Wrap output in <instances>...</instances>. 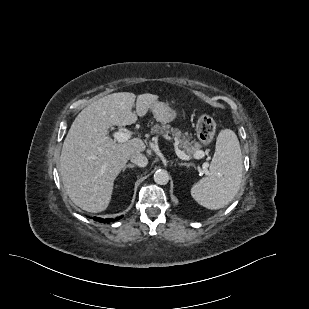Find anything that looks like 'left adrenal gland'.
<instances>
[{"mask_svg": "<svg viewBox=\"0 0 309 309\" xmlns=\"http://www.w3.org/2000/svg\"><path fill=\"white\" fill-rule=\"evenodd\" d=\"M179 166H186V167H190V166H193L191 163H178Z\"/></svg>", "mask_w": 309, "mask_h": 309, "instance_id": "a2214340", "label": "left adrenal gland"}]
</instances>
